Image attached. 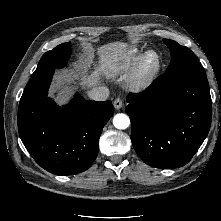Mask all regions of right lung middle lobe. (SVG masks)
<instances>
[{
    "label": "right lung middle lobe",
    "mask_w": 221,
    "mask_h": 221,
    "mask_svg": "<svg viewBox=\"0 0 221 221\" xmlns=\"http://www.w3.org/2000/svg\"><path fill=\"white\" fill-rule=\"evenodd\" d=\"M71 47L70 43H63L55 47L53 50L46 52L34 73L48 69L64 67L70 58Z\"/></svg>",
    "instance_id": "obj_1"
}]
</instances>
